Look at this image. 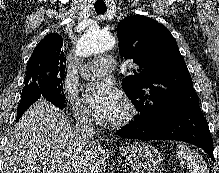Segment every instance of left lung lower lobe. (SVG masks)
Masks as SVG:
<instances>
[{
    "mask_svg": "<svg viewBox=\"0 0 219 173\" xmlns=\"http://www.w3.org/2000/svg\"><path fill=\"white\" fill-rule=\"evenodd\" d=\"M117 135L128 139L188 142L205 150L214 161L212 137L198 103L179 107L151 123L130 121Z\"/></svg>",
    "mask_w": 219,
    "mask_h": 173,
    "instance_id": "obj_1",
    "label": "left lung lower lobe"
}]
</instances>
